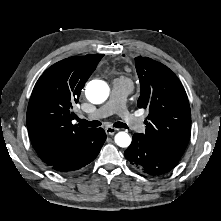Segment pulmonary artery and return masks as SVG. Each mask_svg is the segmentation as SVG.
<instances>
[{"mask_svg":"<svg viewBox=\"0 0 221 221\" xmlns=\"http://www.w3.org/2000/svg\"><path fill=\"white\" fill-rule=\"evenodd\" d=\"M133 86L131 82L123 79H116L113 82L111 96L108 102L99 107L95 112L88 115V119H99L107 117L113 113H117L123 123L135 132L144 130L143 121L132 115L126 106V97L131 93Z\"/></svg>","mask_w":221,"mask_h":221,"instance_id":"1","label":"pulmonary artery"}]
</instances>
